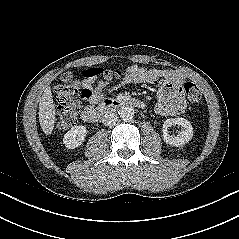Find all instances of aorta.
I'll return each mask as SVG.
<instances>
[{
    "label": "aorta",
    "instance_id": "obj_1",
    "mask_svg": "<svg viewBox=\"0 0 239 239\" xmlns=\"http://www.w3.org/2000/svg\"><path fill=\"white\" fill-rule=\"evenodd\" d=\"M134 109L132 106H122L119 110V116L123 120H130L134 117Z\"/></svg>",
    "mask_w": 239,
    "mask_h": 239
}]
</instances>
